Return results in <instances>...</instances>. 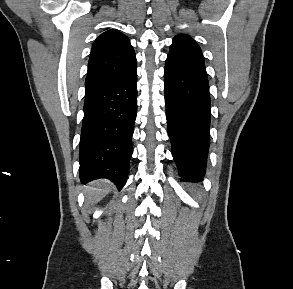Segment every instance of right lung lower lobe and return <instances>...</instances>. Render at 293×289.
<instances>
[{
    "instance_id": "1",
    "label": "right lung lower lobe",
    "mask_w": 293,
    "mask_h": 289,
    "mask_svg": "<svg viewBox=\"0 0 293 289\" xmlns=\"http://www.w3.org/2000/svg\"><path fill=\"white\" fill-rule=\"evenodd\" d=\"M137 114V74L126 82L85 96L80 139V180L125 185Z\"/></svg>"
}]
</instances>
